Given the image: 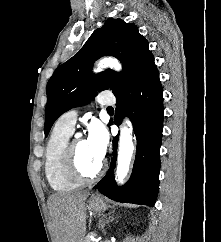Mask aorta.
Segmentation results:
<instances>
[{"mask_svg": "<svg viewBox=\"0 0 221 242\" xmlns=\"http://www.w3.org/2000/svg\"><path fill=\"white\" fill-rule=\"evenodd\" d=\"M110 67L116 71L121 70V64L118 60L113 58H103L99 61L94 72L98 73L104 68ZM134 152V144L131 135V130L124 126L120 130L119 148H118V158H117V169H116V180L122 183L124 178L129 172V167Z\"/></svg>", "mask_w": 221, "mask_h": 242, "instance_id": "1", "label": "aorta"}]
</instances>
